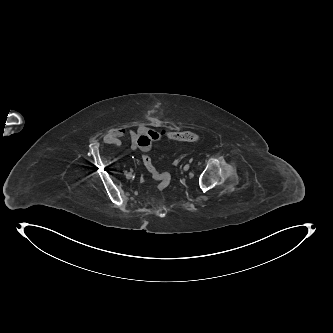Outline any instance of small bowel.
<instances>
[{
    "instance_id": "obj_1",
    "label": "small bowel",
    "mask_w": 333,
    "mask_h": 333,
    "mask_svg": "<svg viewBox=\"0 0 333 333\" xmlns=\"http://www.w3.org/2000/svg\"><path fill=\"white\" fill-rule=\"evenodd\" d=\"M125 136L130 138L133 150H140L142 153L148 154L152 150L153 142L160 141L164 134L162 131L145 125H139L135 129L116 127L105 134L104 142L109 145H120Z\"/></svg>"
}]
</instances>
